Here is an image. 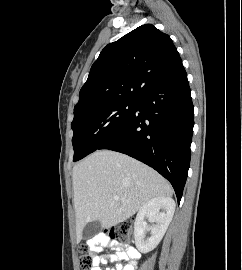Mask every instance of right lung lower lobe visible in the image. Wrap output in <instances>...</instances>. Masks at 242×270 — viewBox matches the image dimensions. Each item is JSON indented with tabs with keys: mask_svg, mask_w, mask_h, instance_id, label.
<instances>
[{
	"mask_svg": "<svg viewBox=\"0 0 242 270\" xmlns=\"http://www.w3.org/2000/svg\"><path fill=\"white\" fill-rule=\"evenodd\" d=\"M194 114L183 65L152 85L136 101L123 127L98 149L127 154L172 184L178 203L190 166Z\"/></svg>",
	"mask_w": 242,
	"mask_h": 270,
	"instance_id": "1",
	"label": "right lung lower lobe"
}]
</instances>
